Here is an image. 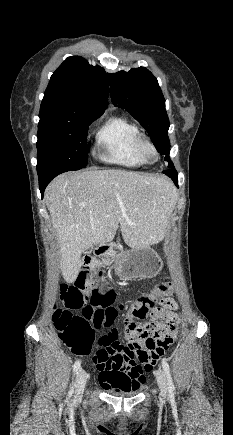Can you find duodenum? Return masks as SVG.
<instances>
[{
	"label": "duodenum",
	"instance_id": "410a0bca",
	"mask_svg": "<svg viewBox=\"0 0 233 435\" xmlns=\"http://www.w3.org/2000/svg\"><path fill=\"white\" fill-rule=\"evenodd\" d=\"M120 253V248L118 246H113L109 243H102L95 250L88 254L85 258V264L87 267H93L95 260L100 259L105 255L115 257Z\"/></svg>",
	"mask_w": 233,
	"mask_h": 435
}]
</instances>
